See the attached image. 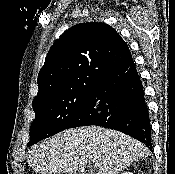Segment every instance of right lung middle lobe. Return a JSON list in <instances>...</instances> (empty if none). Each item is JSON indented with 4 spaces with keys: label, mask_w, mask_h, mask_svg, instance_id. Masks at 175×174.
Wrapping results in <instances>:
<instances>
[{
    "label": "right lung middle lobe",
    "mask_w": 175,
    "mask_h": 174,
    "mask_svg": "<svg viewBox=\"0 0 175 174\" xmlns=\"http://www.w3.org/2000/svg\"><path fill=\"white\" fill-rule=\"evenodd\" d=\"M94 86L86 85L33 103L35 119L27 146L67 129L82 110Z\"/></svg>",
    "instance_id": "obj_1"
}]
</instances>
